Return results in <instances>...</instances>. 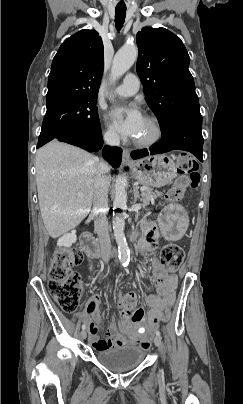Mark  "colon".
Returning a JSON list of instances; mask_svg holds the SVG:
<instances>
[{
  "instance_id": "obj_1",
  "label": "colon",
  "mask_w": 243,
  "mask_h": 404,
  "mask_svg": "<svg viewBox=\"0 0 243 404\" xmlns=\"http://www.w3.org/2000/svg\"><path fill=\"white\" fill-rule=\"evenodd\" d=\"M179 177L169 189L165 198L169 203H176L182 199L188 187L195 188L199 182L198 166L188 154L182 153L177 160ZM184 250L175 244L165 245L160 253L163 265L170 270L178 269L184 261ZM83 261L82 252L77 248H58L49 267L48 290L54 300L65 312H74L81 295V280L77 272L72 270ZM119 308L123 317H129L135 310L137 294L134 291L126 293L119 300ZM170 314L166 313L162 321H167ZM141 346L150 347V341L143 339Z\"/></svg>"
}]
</instances>
